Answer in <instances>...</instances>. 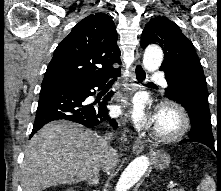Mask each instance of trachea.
I'll list each match as a JSON object with an SVG mask.
<instances>
[{
	"mask_svg": "<svg viewBox=\"0 0 221 191\" xmlns=\"http://www.w3.org/2000/svg\"><path fill=\"white\" fill-rule=\"evenodd\" d=\"M115 80H116V78L110 80V81L108 82V84H113V83L115 82Z\"/></svg>",
	"mask_w": 221,
	"mask_h": 191,
	"instance_id": "trachea-1",
	"label": "trachea"
}]
</instances>
